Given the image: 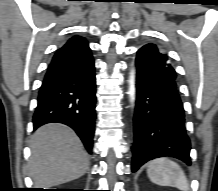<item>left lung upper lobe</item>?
Masks as SVG:
<instances>
[{
	"instance_id": "1",
	"label": "left lung upper lobe",
	"mask_w": 218,
	"mask_h": 191,
	"mask_svg": "<svg viewBox=\"0 0 218 191\" xmlns=\"http://www.w3.org/2000/svg\"><path fill=\"white\" fill-rule=\"evenodd\" d=\"M140 50H143L147 53L149 57L154 60V63L161 64L162 66H166L168 68H172L171 63L166 54L160 52L156 45L154 44H147L143 46Z\"/></svg>"
}]
</instances>
